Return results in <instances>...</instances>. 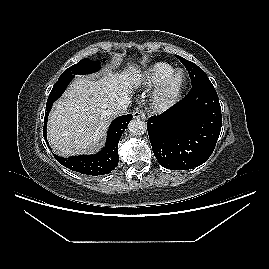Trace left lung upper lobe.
<instances>
[{
    "instance_id": "obj_1",
    "label": "left lung upper lobe",
    "mask_w": 269,
    "mask_h": 269,
    "mask_svg": "<svg viewBox=\"0 0 269 269\" xmlns=\"http://www.w3.org/2000/svg\"><path fill=\"white\" fill-rule=\"evenodd\" d=\"M176 57L182 62V64L188 70L192 85L208 79L206 73L196 64L184 59L179 55H176Z\"/></svg>"
}]
</instances>
